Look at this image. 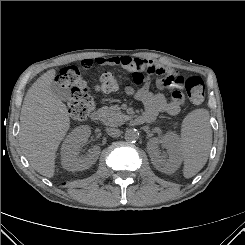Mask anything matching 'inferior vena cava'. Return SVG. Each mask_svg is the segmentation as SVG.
<instances>
[{
  "instance_id": "1",
  "label": "inferior vena cava",
  "mask_w": 245,
  "mask_h": 245,
  "mask_svg": "<svg viewBox=\"0 0 245 245\" xmlns=\"http://www.w3.org/2000/svg\"><path fill=\"white\" fill-rule=\"evenodd\" d=\"M106 131L112 137H119L121 135V131L117 128H108Z\"/></svg>"
}]
</instances>
